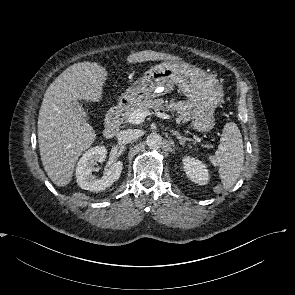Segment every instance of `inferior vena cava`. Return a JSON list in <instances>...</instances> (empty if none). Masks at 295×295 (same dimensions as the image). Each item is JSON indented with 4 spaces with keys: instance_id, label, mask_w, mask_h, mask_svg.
Listing matches in <instances>:
<instances>
[{
    "instance_id": "602c4592",
    "label": "inferior vena cava",
    "mask_w": 295,
    "mask_h": 295,
    "mask_svg": "<svg viewBox=\"0 0 295 295\" xmlns=\"http://www.w3.org/2000/svg\"><path fill=\"white\" fill-rule=\"evenodd\" d=\"M139 136H140L139 130L127 129V130H121L117 134V139L120 143L126 144V143L133 142L134 140L139 138Z\"/></svg>"
}]
</instances>
